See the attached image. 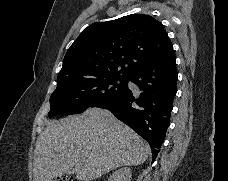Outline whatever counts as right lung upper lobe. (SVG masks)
I'll use <instances>...</instances> for the list:
<instances>
[{
	"label": "right lung upper lobe",
	"instance_id": "right-lung-upper-lobe-1",
	"mask_svg": "<svg viewBox=\"0 0 228 181\" xmlns=\"http://www.w3.org/2000/svg\"><path fill=\"white\" fill-rule=\"evenodd\" d=\"M171 49L163 25L152 16L131 14L95 22L68 49L57 86L119 73L131 76Z\"/></svg>",
	"mask_w": 228,
	"mask_h": 181
}]
</instances>
